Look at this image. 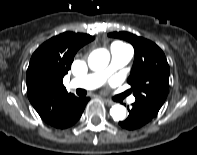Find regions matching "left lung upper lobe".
Here are the masks:
<instances>
[{
  "label": "left lung upper lobe",
  "instance_id": "obj_1",
  "mask_svg": "<svg viewBox=\"0 0 197 155\" xmlns=\"http://www.w3.org/2000/svg\"><path fill=\"white\" fill-rule=\"evenodd\" d=\"M109 37L131 43L135 59L128 83L136 101L158 113L169 90V65L163 51L153 42L128 32H113Z\"/></svg>",
  "mask_w": 197,
  "mask_h": 155
}]
</instances>
